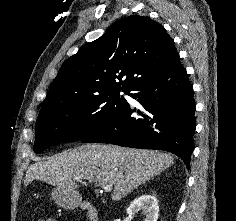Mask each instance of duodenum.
<instances>
[{
	"instance_id": "1",
	"label": "duodenum",
	"mask_w": 236,
	"mask_h": 221,
	"mask_svg": "<svg viewBox=\"0 0 236 221\" xmlns=\"http://www.w3.org/2000/svg\"><path fill=\"white\" fill-rule=\"evenodd\" d=\"M83 208L86 210L90 221H99L98 212L91 203L85 202Z\"/></svg>"
}]
</instances>
